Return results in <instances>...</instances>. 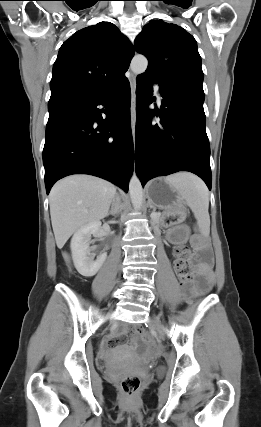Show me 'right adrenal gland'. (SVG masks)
Instances as JSON below:
<instances>
[{
  "label": "right adrenal gland",
  "mask_w": 261,
  "mask_h": 427,
  "mask_svg": "<svg viewBox=\"0 0 261 427\" xmlns=\"http://www.w3.org/2000/svg\"><path fill=\"white\" fill-rule=\"evenodd\" d=\"M117 201L119 200V196L116 194V198ZM116 210L112 207L111 210L108 212L107 216L112 215L115 216L116 215Z\"/></svg>",
  "instance_id": "obj_1"
}]
</instances>
